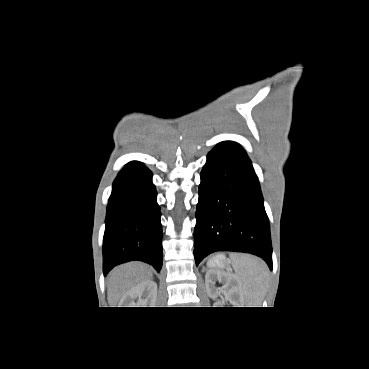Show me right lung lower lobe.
Instances as JSON below:
<instances>
[{"mask_svg": "<svg viewBox=\"0 0 369 369\" xmlns=\"http://www.w3.org/2000/svg\"><path fill=\"white\" fill-rule=\"evenodd\" d=\"M152 173L128 163L118 174L109 199L103 242L104 275L116 265L140 260L162 267V226Z\"/></svg>", "mask_w": 369, "mask_h": 369, "instance_id": "1", "label": "right lung lower lobe"}]
</instances>
